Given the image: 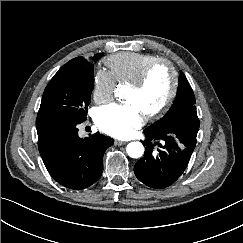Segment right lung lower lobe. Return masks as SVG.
I'll use <instances>...</instances> for the list:
<instances>
[{
	"label": "right lung lower lobe",
	"instance_id": "obj_1",
	"mask_svg": "<svg viewBox=\"0 0 243 243\" xmlns=\"http://www.w3.org/2000/svg\"><path fill=\"white\" fill-rule=\"evenodd\" d=\"M80 123L36 119L38 148L43 162L53 179L70 189L89 187L100 178L104 152L113 145L112 139L99 133L80 138L77 129Z\"/></svg>",
	"mask_w": 243,
	"mask_h": 243
}]
</instances>
